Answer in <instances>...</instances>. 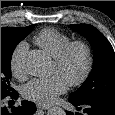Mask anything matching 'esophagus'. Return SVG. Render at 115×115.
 Returning <instances> with one entry per match:
<instances>
[{"mask_svg": "<svg viewBox=\"0 0 115 115\" xmlns=\"http://www.w3.org/2000/svg\"><path fill=\"white\" fill-rule=\"evenodd\" d=\"M37 108L46 110V109H48L49 107L38 104V105H37Z\"/></svg>", "mask_w": 115, "mask_h": 115, "instance_id": "34e87169", "label": "esophagus"}]
</instances>
